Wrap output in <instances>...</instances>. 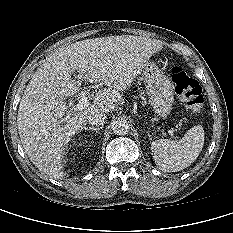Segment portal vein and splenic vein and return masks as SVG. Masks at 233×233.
Wrapping results in <instances>:
<instances>
[{"mask_svg": "<svg viewBox=\"0 0 233 233\" xmlns=\"http://www.w3.org/2000/svg\"><path fill=\"white\" fill-rule=\"evenodd\" d=\"M88 105H89L88 98L86 96H82L80 98L78 104L75 107H73L72 110L75 111V112L76 111H81V110L85 109ZM168 133L172 138L176 139V136L174 135V131L172 129H170L168 131Z\"/></svg>", "mask_w": 233, "mask_h": 233, "instance_id": "obj_1", "label": "portal vein and splenic vein"}]
</instances>
